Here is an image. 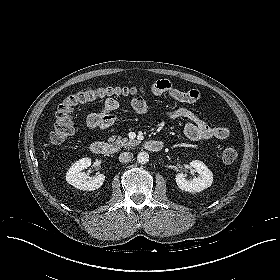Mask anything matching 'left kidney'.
<instances>
[{"label":"left kidney","mask_w":280,"mask_h":280,"mask_svg":"<svg viewBox=\"0 0 280 280\" xmlns=\"http://www.w3.org/2000/svg\"><path fill=\"white\" fill-rule=\"evenodd\" d=\"M190 166L198 173V177L188 180L184 174L178 173L175 179L181 190L195 193L201 192L212 185L213 173L203 162L193 160L190 162Z\"/></svg>","instance_id":"1"}]
</instances>
